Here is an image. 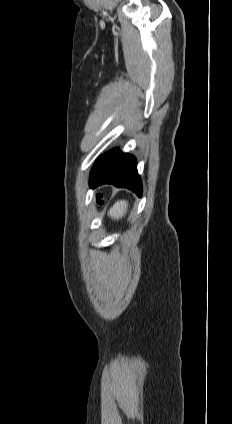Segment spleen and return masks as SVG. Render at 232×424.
Instances as JSON below:
<instances>
[{
	"instance_id": "1",
	"label": "spleen",
	"mask_w": 232,
	"mask_h": 424,
	"mask_svg": "<svg viewBox=\"0 0 232 424\" xmlns=\"http://www.w3.org/2000/svg\"><path fill=\"white\" fill-rule=\"evenodd\" d=\"M127 209H128V202L125 200H120V201H117L113 205V207H111V209L108 212V215L112 219L118 220L125 216Z\"/></svg>"
}]
</instances>
